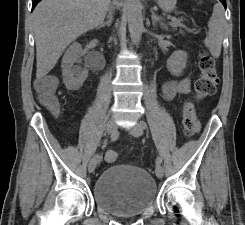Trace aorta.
Segmentation results:
<instances>
[{"label": "aorta", "instance_id": "aorta-1", "mask_svg": "<svg viewBox=\"0 0 245 225\" xmlns=\"http://www.w3.org/2000/svg\"><path fill=\"white\" fill-rule=\"evenodd\" d=\"M128 29L134 43H139L143 26V15L139 0H132L128 9Z\"/></svg>", "mask_w": 245, "mask_h": 225}]
</instances>
